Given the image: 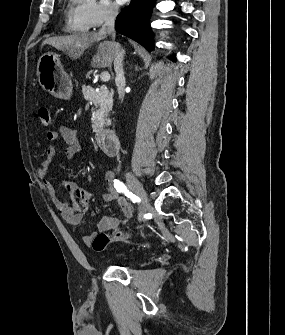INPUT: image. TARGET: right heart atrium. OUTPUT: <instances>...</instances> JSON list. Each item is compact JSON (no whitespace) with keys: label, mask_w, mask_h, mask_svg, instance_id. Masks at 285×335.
Returning a JSON list of instances; mask_svg holds the SVG:
<instances>
[{"label":"right heart atrium","mask_w":285,"mask_h":335,"mask_svg":"<svg viewBox=\"0 0 285 335\" xmlns=\"http://www.w3.org/2000/svg\"><path fill=\"white\" fill-rule=\"evenodd\" d=\"M120 13V7L114 1H90L87 4L86 21L92 28L113 22Z\"/></svg>","instance_id":"right-heart-atrium-1"}]
</instances>
